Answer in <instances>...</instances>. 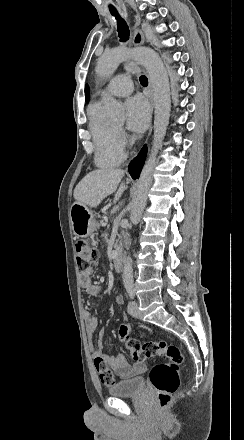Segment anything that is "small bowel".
<instances>
[{"label": "small bowel", "mask_w": 244, "mask_h": 440, "mask_svg": "<svg viewBox=\"0 0 244 440\" xmlns=\"http://www.w3.org/2000/svg\"><path fill=\"white\" fill-rule=\"evenodd\" d=\"M95 272L93 267H88L80 272V282L82 287L85 289V292L89 296H98L101 292L100 285L92 282V276ZM116 301L118 303L122 302V298L120 296L116 297ZM86 320V331L89 339V349L92 357L94 358L96 353H103L105 356L104 361L110 367L115 375L123 379L134 378L139 376L146 370V366L144 363H129L125 356L122 354L118 355H109L104 352L103 345V331L99 332V339L97 343L93 342V334L98 326V319L94 316H91L89 313H85Z\"/></svg>", "instance_id": "small-bowel-1"}]
</instances>
